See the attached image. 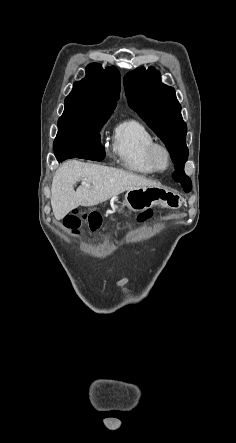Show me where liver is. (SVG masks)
Instances as JSON below:
<instances>
[{
  "label": "liver",
  "instance_id": "6515ba94",
  "mask_svg": "<svg viewBox=\"0 0 236 443\" xmlns=\"http://www.w3.org/2000/svg\"><path fill=\"white\" fill-rule=\"evenodd\" d=\"M78 181L86 182L74 190ZM159 186L143 176L110 168L71 160L64 162L55 172L51 186V205L57 220L63 219L78 206H96L124 191L136 187Z\"/></svg>",
  "mask_w": 236,
  "mask_h": 443
}]
</instances>
